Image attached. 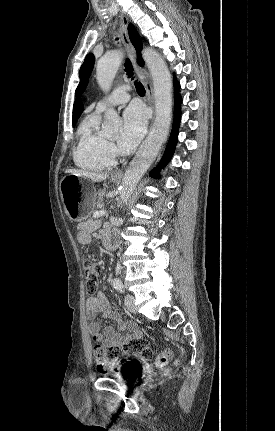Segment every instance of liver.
Returning a JSON list of instances; mask_svg holds the SVG:
<instances>
[{"label":"liver","mask_w":275,"mask_h":431,"mask_svg":"<svg viewBox=\"0 0 275 431\" xmlns=\"http://www.w3.org/2000/svg\"><path fill=\"white\" fill-rule=\"evenodd\" d=\"M66 173L74 174L79 177H86L88 179H91L94 182H100L105 180L108 177V173L101 174V173H92L88 171H82V170H74L69 169L66 171Z\"/></svg>","instance_id":"6515ba94"}]
</instances>
